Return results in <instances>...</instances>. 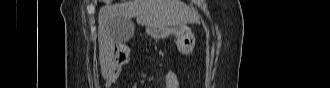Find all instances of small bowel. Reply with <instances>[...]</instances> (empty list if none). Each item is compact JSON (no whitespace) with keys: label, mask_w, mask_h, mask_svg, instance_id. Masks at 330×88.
I'll return each instance as SVG.
<instances>
[{"label":"small bowel","mask_w":330,"mask_h":88,"mask_svg":"<svg viewBox=\"0 0 330 88\" xmlns=\"http://www.w3.org/2000/svg\"><path fill=\"white\" fill-rule=\"evenodd\" d=\"M120 53L129 55L130 50L128 47H120ZM128 58H129V56H128ZM127 62H128V60L126 61V63ZM178 85H179V83H178L177 75L174 72H169L166 75V88H177Z\"/></svg>","instance_id":"small-bowel-1"}]
</instances>
